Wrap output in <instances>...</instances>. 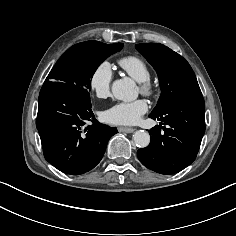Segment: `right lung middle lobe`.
<instances>
[{
	"instance_id": "right-lung-middle-lobe-1",
	"label": "right lung middle lobe",
	"mask_w": 236,
	"mask_h": 236,
	"mask_svg": "<svg viewBox=\"0 0 236 236\" xmlns=\"http://www.w3.org/2000/svg\"><path fill=\"white\" fill-rule=\"evenodd\" d=\"M122 43L104 44L97 41L78 43L68 49L52 68L44 85L50 82L70 84L81 96L90 100L91 79L98 66L111 54L120 51Z\"/></svg>"
}]
</instances>
